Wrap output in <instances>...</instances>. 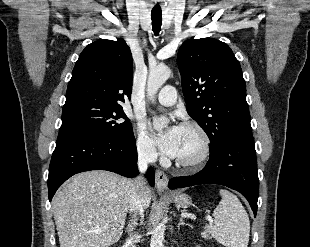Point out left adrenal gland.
I'll use <instances>...</instances> for the list:
<instances>
[{
	"label": "left adrenal gland",
	"instance_id": "a2214340",
	"mask_svg": "<svg viewBox=\"0 0 310 247\" xmlns=\"http://www.w3.org/2000/svg\"><path fill=\"white\" fill-rule=\"evenodd\" d=\"M181 225H185V222L183 221L182 218H180V222H179V224H178V230L180 229V226H181Z\"/></svg>",
	"mask_w": 310,
	"mask_h": 247
}]
</instances>
